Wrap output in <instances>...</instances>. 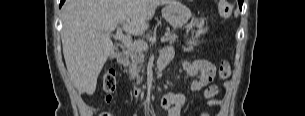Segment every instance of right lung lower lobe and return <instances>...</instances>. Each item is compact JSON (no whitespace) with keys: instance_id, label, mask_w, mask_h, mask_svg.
<instances>
[{"instance_id":"1","label":"right lung lower lobe","mask_w":305,"mask_h":116,"mask_svg":"<svg viewBox=\"0 0 305 116\" xmlns=\"http://www.w3.org/2000/svg\"><path fill=\"white\" fill-rule=\"evenodd\" d=\"M64 1H65V0H61L60 7H61V6H62V4L64 3Z\"/></svg>"}]
</instances>
